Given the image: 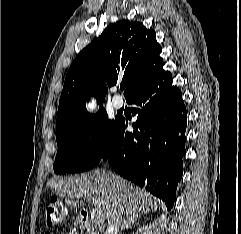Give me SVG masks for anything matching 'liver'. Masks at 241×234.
Returning <instances> with one entry per match:
<instances>
[{
    "label": "liver",
    "mask_w": 241,
    "mask_h": 234,
    "mask_svg": "<svg viewBox=\"0 0 241 234\" xmlns=\"http://www.w3.org/2000/svg\"><path fill=\"white\" fill-rule=\"evenodd\" d=\"M47 186L64 193L67 203L77 206L98 202L104 220L118 210L128 215L142 214L157 209L160 202L148 192L111 172L94 170L68 179H51Z\"/></svg>",
    "instance_id": "liver-1"
}]
</instances>
